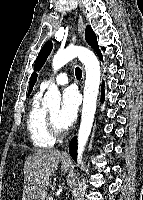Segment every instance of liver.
Returning <instances> with one entry per match:
<instances>
[{
  "instance_id": "1",
  "label": "liver",
  "mask_w": 143,
  "mask_h": 200,
  "mask_svg": "<svg viewBox=\"0 0 143 200\" xmlns=\"http://www.w3.org/2000/svg\"><path fill=\"white\" fill-rule=\"evenodd\" d=\"M62 154L56 149H39L24 163L23 200H45L50 176L58 168Z\"/></svg>"
}]
</instances>
